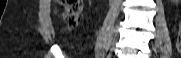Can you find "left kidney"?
I'll list each match as a JSON object with an SVG mask.
<instances>
[{
  "label": "left kidney",
  "instance_id": "1",
  "mask_svg": "<svg viewBox=\"0 0 181 58\" xmlns=\"http://www.w3.org/2000/svg\"><path fill=\"white\" fill-rule=\"evenodd\" d=\"M173 2H179V0H173Z\"/></svg>",
  "mask_w": 181,
  "mask_h": 58
}]
</instances>
